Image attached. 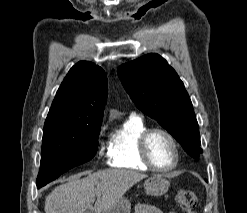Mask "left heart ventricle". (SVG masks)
<instances>
[{
  "mask_svg": "<svg viewBox=\"0 0 247 213\" xmlns=\"http://www.w3.org/2000/svg\"><path fill=\"white\" fill-rule=\"evenodd\" d=\"M148 152L153 163L167 168L174 162V150L169 139L160 133L153 134L148 142Z\"/></svg>",
  "mask_w": 247,
  "mask_h": 213,
  "instance_id": "obj_1",
  "label": "left heart ventricle"
}]
</instances>
